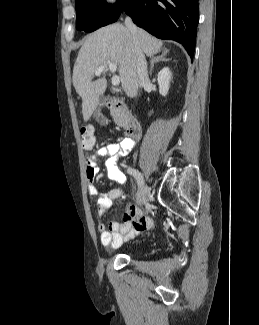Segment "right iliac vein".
I'll list each match as a JSON object with an SVG mask.
<instances>
[{
  "label": "right iliac vein",
  "instance_id": "obj_1",
  "mask_svg": "<svg viewBox=\"0 0 259 325\" xmlns=\"http://www.w3.org/2000/svg\"><path fill=\"white\" fill-rule=\"evenodd\" d=\"M140 180H141V183L138 186V195H139L140 204H143L147 198V187H146L144 178L141 174H140Z\"/></svg>",
  "mask_w": 259,
  "mask_h": 325
}]
</instances>
